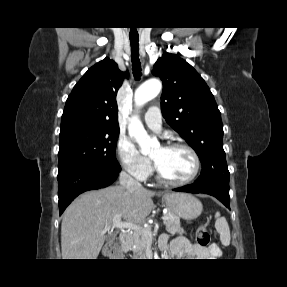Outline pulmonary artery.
<instances>
[{"label":"pulmonary artery","mask_w":287,"mask_h":287,"mask_svg":"<svg viewBox=\"0 0 287 287\" xmlns=\"http://www.w3.org/2000/svg\"><path fill=\"white\" fill-rule=\"evenodd\" d=\"M144 121L147 126L152 130H160L162 125V119L159 108L156 106L150 107L144 115Z\"/></svg>","instance_id":"pulmonary-artery-1"}]
</instances>
